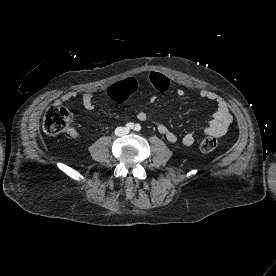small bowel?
<instances>
[{
  "label": "small bowel",
  "instance_id": "1",
  "mask_svg": "<svg viewBox=\"0 0 276 276\" xmlns=\"http://www.w3.org/2000/svg\"><path fill=\"white\" fill-rule=\"evenodd\" d=\"M148 82L152 88L159 91H164L169 88L168 79L159 72H152L148 77ZM138 88V80L135 78H130L111 86L108 90V94L115 100H123L135 93ZM176 94L178 96H183L184 90L182 88H178L176 89ZM76 96L77 94L74 91L66 92L56 99V103H66L76 98ZM199 96L214 102L216 105V111L214 112L212 119L210 120L209 124L202 129V132L205 135H210L213 137H221L225 135L233 120L228 103L219 94L206 89H201L199 91ZM94 98L95 95L93 92H86L81 96V102L87 110H92L95 108ZM137 119L141 122H146L149 120V116L146 112L141 111L137 114ZM154 125L158 132L164 135L168 142L176 143L178 141V136L176 133L169 129L165 123L156 120L154 121ZM71 134L73 137L81 136V134L76 131H72ZM181 142L185 146H191L195 142L194 134L187 133L183 135Z\"/></svg>",
  "mask_w": 276,
  "mask_h": 276
}]
</instances>
